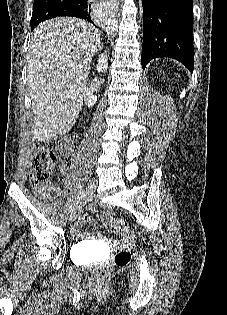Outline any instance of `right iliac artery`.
Listing matches in <instances>:
<instances>
[{
  "label": "right iliac artery",
  "instance_id": "1",
  "mask_svg": "<svg viewBox=\"0 0 227 315\" xmlns=\"http://www.w3.org/2000/svg\"><path fill=\"white\" fill-rule=\"evenodd\" d=\"M85 198V191H82L78 197L76 198V200L74 201V203L70 206L69 208V212L72 213L75 210V207L78 205L79 202H81L83 199Z\"/></svg>",
  "mask_w": 227,
  "mask_h": 315
}]
</instances>
